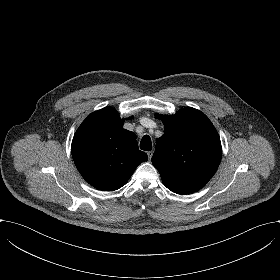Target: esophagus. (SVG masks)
Listing matches in <instances>:
<instances>
[{
    "label": "esophagus",
    "instance_id": "34e87169",
    "mask_svg": "<svg viewBox=\"0 0 280 280\" xmlns=\"http://www.w3.org/2000/svg\"><path fill=\"white\" fill-rule=\"evenodd\" d=\"M147 155H148V160H151L152 155H153V151L147 152Z\"/></svg>",
    "mask_w": 280,
    "mask_h": 280
}]
</instances>
